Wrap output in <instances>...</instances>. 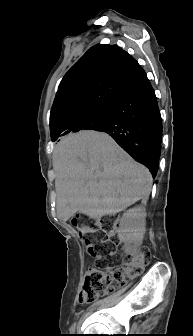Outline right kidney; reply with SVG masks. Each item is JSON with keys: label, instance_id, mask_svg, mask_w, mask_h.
I'll list each match as a JSON object with an SVG mask.
<instances>
[{"label": "right kidney", "instance_id": "obj_1", "mask_svg": "<svg viewBox=\"0 0 193 336\" xmlns=\"http://www.w3.org/2000/svg\"><path fill=\"white\" fill-rule=\"evenodd\" d=\"M146 226V211L143 206L127 210L120 219L118 237L127 249L136 250L143 241Z\"/></svg>", "mask_w": 193, "mask_h": 336}]
</instances>
